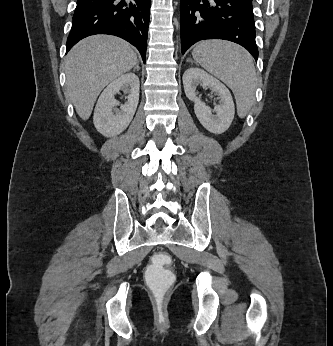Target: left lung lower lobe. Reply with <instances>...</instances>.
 Masks as SVG:
<instances>
[{
    "label": "left lung lower lobe",
    "instance_id": "left-lung-lower-lobe-1",
    "mask_svg": "<svg viewBox=\"0 0 333 346\" xmlns=\"http://www.w3.org/2000/svg\"><path fill=\"white\" fill-rule=\"evenodd\" d=\"M180 28L182 54L200 40L223 39L240 44L258 59L248 0H181Z\"/></svg>",
    "mask_w": 333,
    "mask_h": 346
}]
</instances>
